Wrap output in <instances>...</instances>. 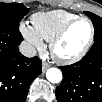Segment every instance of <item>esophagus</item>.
I'll list each match as a JSON object with an SVG mask.
<instances>
[{"label":"esophagus","instance_id":"esophagus-1","mask_svg":"<svg viewBox=\"0 0 102 102\" xmlns=\"http://www.w3.org/2000/svg\"><path fill=\"white\" fill-rule=\"evenodd\" d=\"M49 67H50V64L48 62H43L42 72L44 73Z\"/></svg>","mask_w":102,"mask_h":102}]
</instances>
